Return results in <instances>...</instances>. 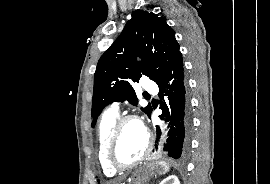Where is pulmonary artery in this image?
Masks as SVG:
<instances>
[{
	"mask_svg": "<svg viewBox=\"0 0 270 184\" xmlns=\"http://www.w3.org/2000/svg\"><path fill=\"white\" fill-rule=\"evenodd\" d=\"M143 89L149 93H156L157 92V85L151 81V80H146L143 83ZM112 110L118 111L119 110V104L114 103L111 107Z\"/></svg>",
	"mask_w": 270,
	"mask_h": 184,
	"instance_id": "pulmonary-artery-1",
	"label": "pulmonary artery"
}]
</instances>
